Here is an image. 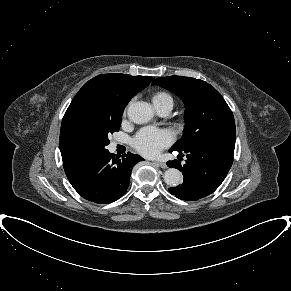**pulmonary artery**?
Here are the masks:
<instances>
[{"instance_id": "1", "label": "pulmonary artery", "mask_w": 291, "mask_h": 291, "mask_svg": "<svg viewBox=\"0 0 291 291\" xmlns=\"http://www.w3.org/2000/svg\"><path fill=\"white\" fill-rule=\"evenodd\" d=\"M172 107L170 105H164L161 106L159 108H156V110L158 111V113L162 116H166L170 113Z\"/></svg>"}]
</instances>
